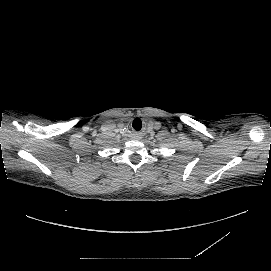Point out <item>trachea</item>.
<instances>
[{"instance_id": "3493384b", "label": "trachea", "mask_w": 271, "mask_h": 271, "mask_svg": "<svg viewBox=\"0 0 271 271\" xmlns=\"http://www.w3.org/2000/svg\"><path fill=\"white\" fill-rule=\"evenodd\" d=\"M143 123H142V120L141 119H134L133 121H132V123H131V128H132V130H134V131H137V132H139V131H142L143 130Z\"/></svg>"}]
</instances>
